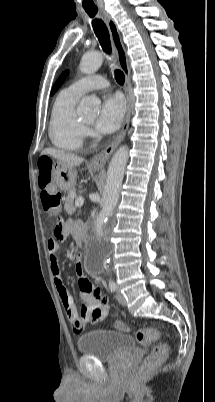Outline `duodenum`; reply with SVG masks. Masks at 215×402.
<instances>
[{
  "label": "duodenum",
  "instance_id": "1",
  "mask_svg": "<svg viewBox=\"0 0 215 402\" xmlns=\"http://www.w3.org/2000/svg\"><path fill=\"white\" fill-rule=\"evenodd\" d=\"M81 238H82V241L85 243V242H86L87 235H86L85 233H83V234L81 235Z\"/></svg>",
  "mask_w": 215,
  "mask_h": 402
}]
</instances>
